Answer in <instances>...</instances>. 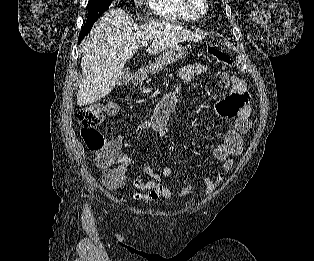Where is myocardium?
Returning <instances> with one entry per match:
<instances>
[{"instance_id": "1", "label": "myocardium", "mask_w": 314, "mask_h": 261, "mask_svg": "<svg viewBox=\"0 0 314 261\" xmlns=\"http://www.w3.org/2000/svg\"><path fill=\"white\" fill-rule=\"evenodd\" d=\"M184 6L195 16L204 15L209 10V0H202V8L195 6L194 0H182Z\"/></svg>"}]
</instances>
